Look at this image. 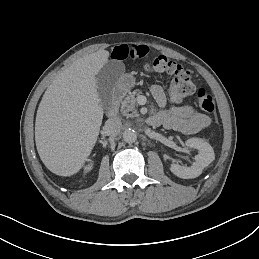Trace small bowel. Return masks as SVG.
<instances>
[{
  "label": "small bowel",
  "instance_id": "c3829d8e",
  "mask_svg": "<svg viewBox=\"0 0 259 259\" xmlns=\"http://www.w3.org/2000/svg\"><path fill=\"white\" fill-rule=\"evenodd\" d=\"M148 52L149 49L145 45L120 44L111 49L110 57L116 61L128 58L139 59L145 57ZM151 93L158 106L163 108L151 117L153 119L152 125L163 126L166 129L184 134H195L210 125V117L197 112L192 106L172 104L160 85H153Z\"/></svg>",
  "mask_w": 259,
  "mask_h": 259
}]
</instances>
